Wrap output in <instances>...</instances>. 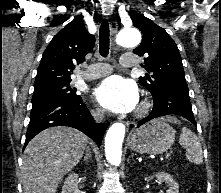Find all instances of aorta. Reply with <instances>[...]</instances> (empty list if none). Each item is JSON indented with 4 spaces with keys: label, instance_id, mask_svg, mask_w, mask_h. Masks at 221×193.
<instances>
[{
    "label": "aorta",
    "instance_id": "762f6f07",
    "mask_svg": "<svg viewBox=\"0 0 221 193\" xmlns=\"http://www.w3.org/2000/svg\"><path fill=\"white\" fill-rule=\"evenodd\" d=\"M141 41V34L135 28L123 29L117 38V42L122 47H134ZM125 135V125L114 123L107 131L105 137V155L108 162L114 166L121 163L122 143Z\"/></svg>",
    "mask_w": 221,
    "mask_h": 193
}]
</instances>
